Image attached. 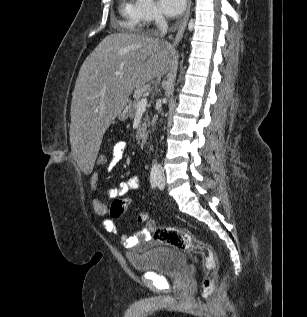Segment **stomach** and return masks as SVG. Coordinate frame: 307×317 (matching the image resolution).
<instances>
[{"label":"stomach","mask_w":307,"mask_h":317,"mask_svg":"<svg viewBox=\"0 0 307 317\" xmlns=\"http://www.w3.org/2000/svg\"><path fill=\"white\" fill-rule=\"evenodd\" d=\"M130 109H131V102L128 99L124 103H122V105L119 107L116 113V117L121 121L126 120L129 117Z\"/></svg>","instance_id":"0dacf381"}]
</instances>
